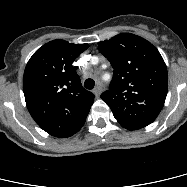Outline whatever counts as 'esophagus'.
I'll return each mask as SVG.
<instances>
[{
	"instance_id": "obj_1",
	"label": "esophagus",
	"mask_w": 187,
	"mask_h": 187,
	"mask_svg": "<svg viewBox=\"0 0 187 187\" xmlns=\"http://www.w3.org/2000/svg\"><path fill=\"white\" fill-rule=\"evenodd\" d=\"M102 90H103L102 85H101V84H98V85L94 88L93 93L95 94L96 97H99L100 94L102 93Z\"/></svg>"
}]
</instances>
